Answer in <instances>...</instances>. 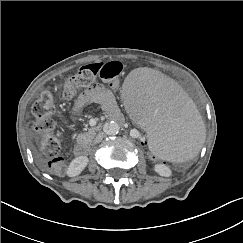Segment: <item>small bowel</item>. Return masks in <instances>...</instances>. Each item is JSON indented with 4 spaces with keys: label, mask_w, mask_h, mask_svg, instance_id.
Listing matches in <instances>:
<instances>
[{
    "label": "small bowel",
    "mask_w": 243,
    "mask_h": 243,
    "mask_svg": "<svg viewBox=\"0 0 243 243\" xmlns=\"http://www.w3.org/2000/svg\"><path fill=\"white\" fill-rule=\"evenodd\" d=\"M91 104H100L103 109L115 111L117 108L113 93L100 84L86 89L74 102V109L80 111Z\"/></svg>",
    "instance_id": "c3829d8e"
}]
</instances>
